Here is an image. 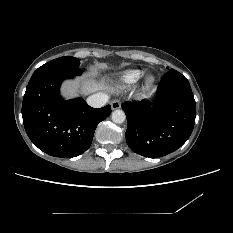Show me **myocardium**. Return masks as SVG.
Listing matches in <instances>:
<instances>
[{"instance_id":"myocardium-1","label":"myocardium","mask_w":233,"mask_h":233,"mask_svg":"<svg viewBox=\"0 0 233 233\" xmlns=\"http://www.w3.org/2000/svg\"><path fill=\"white\" fill-rule=\"evenodd\" d=\"M154 83V77L152 75H149L146 79H145V82H144V86L146 88H149L153 85Z\"/></svg>"}]
</instances>
